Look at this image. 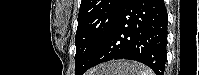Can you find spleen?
<instances>
[{
    "label": "spleen",
    "instance_id": "3e777b00",
    "mask_svg": "<svg viewBox=\"0 0 199 75\" xmlns=\"http://www.w3.org/2000/svg\"><path fill=\"white\" fill-rule=\"evenodd\" d=\"M141 68H142V71L140 75H154V73L150 69L144 68V67H141Z\"/></svg>",
    "mask_w": 199,
    "mask_h": 75
}]
</instances>
